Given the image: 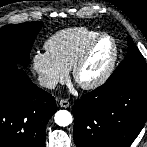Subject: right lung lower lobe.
<instances>
[{"instance_id":"1","label":"right lung lower lobe","mask_w":147,"mask_h":147,"mask_svg":"<svg viewBox=\"0 0 147 147\" xmlns=\"http://www.w3.org/2000/svg\"><path fill=\"white\" fill-rule=\"evenodd\" d=\"M56 112L52 95L32 83L10 60H0V147H43Z\"/></svg>"}]
</instances>
